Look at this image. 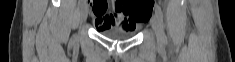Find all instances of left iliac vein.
<instances>
[{"instance_id": "1", "label": "left iliac vein", "mask_w": 235, "mask_h": 62, "mask_svg": "<svg viewBox=\"0 0 235 62\" xmlns=\"http://www.w3.org/2000/svg\"><path fill=\"white\" fill-rule=\"evenodd\" d=\"M150 23H151L152 29L156 35L158 44H160V45L163 44L161 28H160L159 21H158V18L156 15H154L151 18Z\"/></svg>"}]
</instances>
